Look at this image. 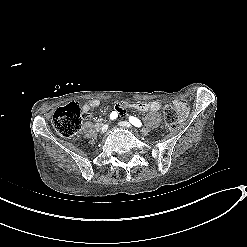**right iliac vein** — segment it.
I'll use <instances>...</instances> for the list:
<instances>
[{"label":"right iliac vein","instance_id":"63e3f726","mask_svg":"<svg viewBox=\"0 0 247 247\" xmlns=\"http://www.w3.org/2000/svg\"><path fill=\"white\" fill-rule=\"evenodd\" d=\"M108 127H109L108 124L103 125L102 128H101V131L103 133L106 132L108 130Z\"/></svg>","mask_w":247,"mask_h":247}]
</instances>
